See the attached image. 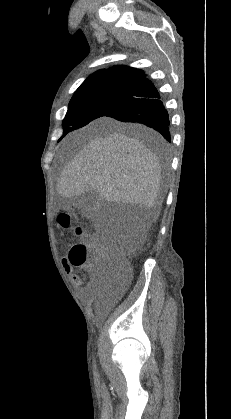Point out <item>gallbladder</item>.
<instances>
[{
	"label": "gallbladder",
	"instance_id": "gallbladder-1",
	"mask_svg": "<svg viewBox=\"0 0 231 419\" xmlns=\"http://www.w3.org/2000/svg\"><path fill=\"white\" fill-rule=\"evenodd\" d=\"M74 202L81 204L85 213L89 214L97 210L100 197L95 190H88L81 197H77Z\"/></svg>",
	"mask_w": 231,
	"mask_h": 419
}]
</instances>
